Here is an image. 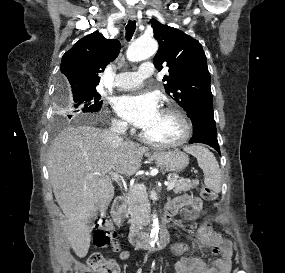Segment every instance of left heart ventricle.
<instances>
[{
  "instance_id": "obj_1",
  "label": "left heart ventricle",
  "mask_w": 285,
  "mask_h": 273,
  "mask_svg": "<svg viewBox=\"0 0 285 273\" xmlns=\"http://www.w3.org/2000/svg\"><path fill=\"white\" fill-rule=\"evenodd\" d=\"M182 128L178 119L172 115L160 112L157 119L147 128L143 129L146 136L155 141H171L178 138Z\"/></svg>"
}]
</instances>
